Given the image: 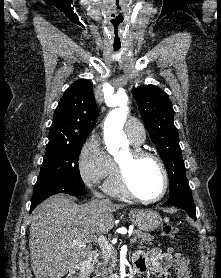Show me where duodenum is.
<instances>
[{"label": "duodenum", "instance_id": "1", "mask_svg": "<svg viewBox=\"0 0 221 278\" xmlns=\"http://www.w3.org/2000/svg\"><path fill=\"white\" fill-rule=\"evenodd\" d=\"M96 258V253L91 252L89 256L82 262L77 264L68 274L67 278H88V269L93 264Z\"/></svg>", "mask_w": 221, "mask_h": 278}]
</instances>
